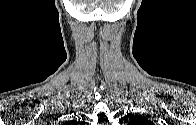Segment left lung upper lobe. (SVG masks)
Listing matches in <instances>:
<instances>
[{
    "mask_svg": "<svg viewBox=\"0 0 196 125\" xmlns=\"http://www.w3.org/2000/svg\"><path fill=\"white\" fill-rule=\"evenodd\" d=\"M150 121H148L146 118H143L142 116H133L130 120V125H145L149 124Z\"/></svg>",
    "mask_w": 196,
    "mask_h": 125,
    "instance_id": "5c2ea615",
    "label": "left lung upper lobe"
}]
</instances>
